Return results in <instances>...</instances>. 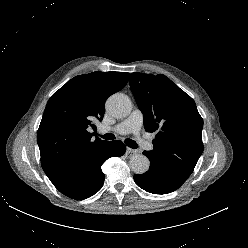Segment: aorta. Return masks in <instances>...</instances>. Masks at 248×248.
<instances>
[{"label": "aorta", "mask_w": 248, "mask_h": 248, "mask_svg": "<svg viewBox=\"0 0 248 248\" xmlns=\"http://www.w3.org/2000/svg\"><path fill=\"white\" fill-rule=\"evenodd\" d=\"M107 111L116 118H124L131 112V102L124 94H114L106 102ZM149 159L143 154H136L130 159V168L135 174L148 171Z\"/></svg>", "instance_id": "obj_1"}]
</instances>
